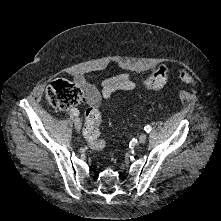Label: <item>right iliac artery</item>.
I'll return each mask as SVG.
<instances>
[{"label": "right iliac artery", "mask_w": 221, "mask_h": 221, "mask_svg": "<svg viewBox=\"0 0 221 221\" xmlns=\"http://www.w3.org/2000/svg\"><path fill=\"white\" fill-rule=\"evenodd\" d=\"M71 113H72L74 116H78V115H79V111H78V109H76V108H72V109H71Z\"/></svg>", "instance_id": "1"}]
</instances>
